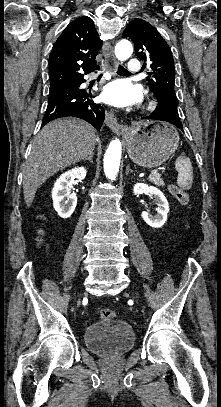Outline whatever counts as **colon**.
Returning a JSON list of instances; mask_svg holds the SVG:
<instances>
[{
    "mask_svg": "<svg viewBox=\"0 0 221 407\" xmlns=\"http://www.w3.org/2000/svg\"><path fill=\"white\" fill-rule=\"evenodd\" d=\"M168 190L174 196V198L178 200L179 203H181L182 205L189 204V197L183 189L174 184H171L168 186ZM99 316L103 320H112L115 317V313L111 309H102L99 311Z\"/></svg>",
    "mask_w": 221,
    "mask_h": 407,
    "instance_id": "obj_1",
    "label": "colon"
}]
</instances>
